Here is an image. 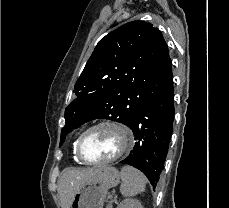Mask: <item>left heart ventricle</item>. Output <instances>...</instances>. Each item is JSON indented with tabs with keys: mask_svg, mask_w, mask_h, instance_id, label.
I'll return each instance as SVG.
<instances>
[{
	"mask_svg": "<svg viewBox=\"0 0 229 208\" xmlns=\"http://www.w3.org/2000/svg\"><path fill=\"white\" fill-rule=\"evenodd\" d=\"M114 127L103 126L94 129L86 134L83 139V153L87 160H110L123 147H119Z\"/></svg>",
	"mask_w": 229,
	"mask_h": 208,
	"instance_id": "b2bd125f",
	"label": "left heart ventricle"
}]
</instances>
